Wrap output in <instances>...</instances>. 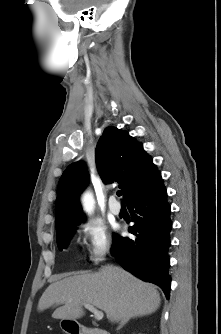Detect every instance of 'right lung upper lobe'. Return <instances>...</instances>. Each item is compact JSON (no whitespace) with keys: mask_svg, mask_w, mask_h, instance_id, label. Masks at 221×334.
<instances>
[{"mask_svg":"<svg viewBox=\"0 0 221 334\" xmlns=\"http://www.w3.org/2000/svg\"><path fill=\"white\" fill-rule=\"evenodd\" d=\"M95 159L102 181L120 183L126 202L159 174L142 144L116 127L105 128L96 146ZM87 181L86 168L81 163L71 164L62 174L56 199L57 234L82 221L79 195Z\"/></svg>","mask_w":221,"mask_h":334,"instance_id":"obj_1","label":"right lung upper lobe"}]
</instances>
